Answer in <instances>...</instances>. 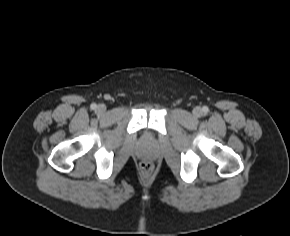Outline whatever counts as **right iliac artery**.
Returning a JSON list of instances; mask_svg holds the SVG:
<instances>
[{"instance_id":"right-iliac-artery-1","label":"right iliac artery","mask_w":290,"mask_h":236,"mask_svg":"<svg viewBox=\"0 0 290 236\" xmlns=\"http://www.w3.org/2000/svg\"><path fill=\"white\" fill-rule=\"evenodd\" d=\"M96 107H97V105L95 103L91 104V106H90V108L93 110L96 109Z\"/></svg>"}]
</instances>
